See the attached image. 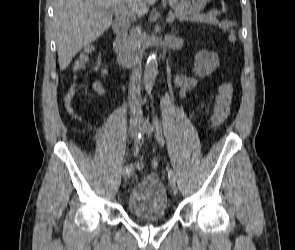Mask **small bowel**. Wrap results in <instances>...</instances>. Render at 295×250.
I'll return each mask as SVG.
<instances>
[{"mask_svg": "<svg viewBox=\"0 0 295 250\" xmlns=\"http://www.w3.org/2000/svg\"><path fill=\"white\" fill-rule=\"evenodd\" d=\"M170 43L173 47H178L180 45V40L179 39H172ZM87 59H88V54L87 53L82 54L76 60V62L74 64V71L79 72L83 68ZM106 75H107V69H104L102 71V77L104 78V77H106ZM174 83H175V86L179 90V93L182 97H186L187 94L196 86V80L194 78L186 76V75L177 76L175 78ZM93 87L98 93H102L104 90L102 81H95L93 83ZM208 106H210V103L203 105V107H208ZM140 164H141L140 162H137V164H136L137 167H139Z\"/></svg>", "mask_w": 295, "mask_h": 250, "instance_id": "c3829d8e", "label": "small bowel"}]
</instances>
